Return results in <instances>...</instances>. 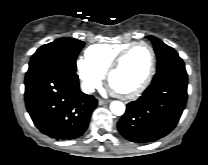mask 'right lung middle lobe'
Instances as JSON below:
<instances>
[{
	"mask_svg": "<svg viewBox=\"0 0 208 165\" xmlns=\"http://www.w3.org/2000/svg\"><path fill=\"white\" fill-rule=\"evenodd\" d=\"M83 46V41L74 38H59L45 44L33 54L27 73L49 63L64 64L76 70V57Z\"/></svg>",
	"mask_w": 208,
	"mask_h": 165,
	"instance_id": "1",
	"label": "right lung middle lobe"
}]
</instances>
